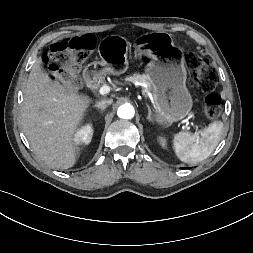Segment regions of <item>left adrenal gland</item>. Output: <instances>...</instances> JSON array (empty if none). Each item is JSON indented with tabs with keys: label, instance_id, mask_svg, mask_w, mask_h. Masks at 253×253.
I'll list each match as a JSON object with an SVG mask.
<instances>
[{
	"label": "left adrenal gland",
	"instance_id": "a2214340",
	"mask_svg": "<svg viewBox=\"0 0 253 253\" xmlns=\"http://www.w3.org/2000/svg\"><path fill=\"white\" fill-rule=\"evenodd\" d=\"M146 106H147V108H148V116H147V119H148L150 122H152L153 119H152V112H151L150 106H149L148 104H147Z\"/></svg>",
	"mask_w": 253,
	"mask_h": 253
}]
</instances>
